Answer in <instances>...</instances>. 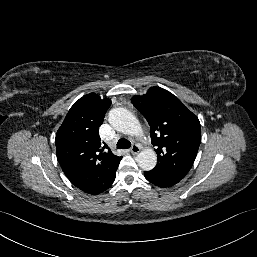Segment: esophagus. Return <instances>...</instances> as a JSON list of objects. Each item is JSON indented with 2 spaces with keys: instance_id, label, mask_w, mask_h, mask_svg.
Masks as SVG:
<instances>
[{
  "instance_id": "1",
  "label": "esophagus",
  "mask_w": 257,
  "mask_h": 257,
  "mask_svg": "<svg viewBox=\"0 0 257 257\" xmlns=\"http://www.w3.org/2000/svg\"><path fill=\"white\" fill-rule=\"evenodd\" d=\"M130 152L132 153V154H138L139 152H140V146L139 145H137V144H134L132 147H131V149H130Z\"/></svg>"
}]
</instances>
